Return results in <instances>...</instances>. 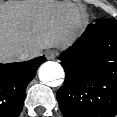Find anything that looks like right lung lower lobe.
Wrapping results in <instances>:
<instances>
[{"label":"right lung lower lobe","mask_w":117,"mask_h":117,"mask_svg":"<svg viewBox=\"0 0 117 117\" xmlns=\"http://www.w3.org/2000/svg\"><path fill=\"white\" fill-rule=\"evenodd\" d=\"M45 60L41 56L26 62L0 64V117H18L26 87Z\"/></svg>","instance_id":"98d812e1"}]
</instances>
